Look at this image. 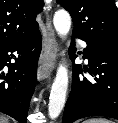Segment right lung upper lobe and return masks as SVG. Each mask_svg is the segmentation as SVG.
Wrapping results in <instances>:
<instances>
[{
	"instance_id": "right-lung-upper-lobe-1",
	"label": "right lung upper lobe",
	"mask_w": 118,
	"mask_h": 123,
	"mask_svg": "<svg viewBox=\"0 0 118 123\" xmlns=\"http://www.w3.org/2000/svg\"><path fill=\"white\" fill-rule=\"evenodd\" d=\"M43 0H0V46L25 40L38 30Z\"/></svg>"
}]
</instances>
